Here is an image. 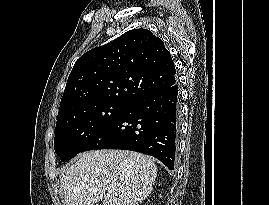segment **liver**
Masks as SVG:
<instances>
[{
	"instance_id": "6515ba94",
	"label": "liver",
	"mask_w": 269,
	"mask_h": 205,
	"mask_svg": "<svg viewBox=\"0 0 269 205\" xmlns=\"http://www.w3.org/2000/svg\"><path fill=\"white\" fill-rule=\"evenodd\" d=\"M156 176V164L143 154L93 150L66 167L60 183L66 205H94L100 200L103 205H138L152 192Z\"/></svg>"
}]
</instances>
